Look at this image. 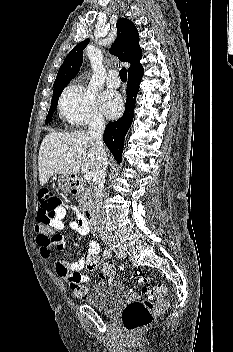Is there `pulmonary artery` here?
<instances>
[{
    "label": "pulmonary artery",
    "mask_w": 233,
    "mask_h": 352,
    "mask_svg": "<svg viewBox=\"0 0 233 352\" xmlns=\"http://www.w3.org/2000/svg\"><path fill=\"white\" fill-rule=\"evenodd\" d=\"M107 85L112 88H117L120 85V80H119L118 74L115 70H111L108 73Z\"/></svg>",
    "instance_id": "e3ab8cb5"
}]
</instances>
